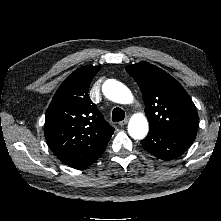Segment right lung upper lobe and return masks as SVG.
Masks as SVG:
<instances>
[{
    "mask_svg": "<svg viewBox=\"0 0 221 221\" xmlns=\"http://www.w3.org/2000/svg\"><path fill=\"white\" fill-rule=\"evenodd\" d=\"M100 66L75 70L60 85L46 112L45 138L65 164L78 168L105 151L114 132L88 96Z\"/></svg>",
    "mask_w": 221,
    "mask_h": 221,
    "instance_id": "right-lung-upper-lobe-1",
    "label": "right lung upper lobe"
}]
</instances>
